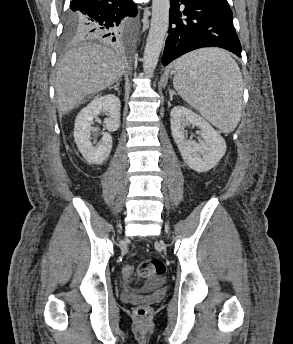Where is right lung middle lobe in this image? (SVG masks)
<instances>
[{"mask_svg": "<svg viewBox=\"0 0 293 344\" xmlns=\"http://www.w3.org/2000/svg\"><path fill=\"white\" fill-rule=\"evenodd\" d=\"M85 21V17L79 13L69 12L65 30L63 33V41L65 43L74 42L82 39L81 26Z\"/></svg>", "mask_w": 293, "mask_h": 344, "instance_id": "right-lung-middle-lobe-1", "label": "right lung middle lobe"}]
</instances>
